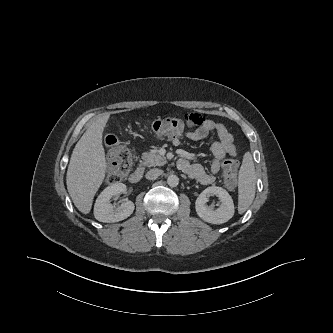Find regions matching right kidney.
<instances>
[{"mask_svg":"<svg viewBox=\"0 0 333 333\" xmlns=\"http://www.w3.org/2000/svg\"><path fill=\"white\" fill-rule=\"evenodd\" d=\"M126 190L123 183H115L106 187L98 196L94 205V216L100 222L112 223L128 218L134 211V203L126 201L115 208L110 203L111 198Z\"/></svg>","mask_w":333,"mask_h":333,"instance_id":"1","label":"right kidney"}]
</instances>
